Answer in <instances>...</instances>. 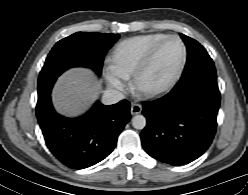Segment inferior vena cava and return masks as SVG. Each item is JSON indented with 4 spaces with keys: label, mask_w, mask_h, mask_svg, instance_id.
I'll use <instances>...</instances> for the list:
<instances>
[{
    "label": "inferior vena cava",
    "mask_w": 248,
    "mask_h": 195,
    "mask_svg": "<svg viewBox=\"0 0 248 195\" xmlns=\"http://www.w3.org/2000/svg\"><path fill=\"white\" fill-rule=\"evenodd\" d=\"M124 98L125 96L121 91L116 89H107L102 97V102L105 105H111L123 100Z\"/></svg>",
    "instance_id": "602c4592"
}]
</instances>
